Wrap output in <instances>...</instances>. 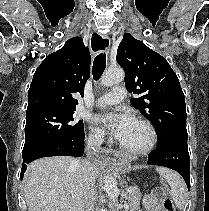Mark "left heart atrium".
<instances>
[{"mask_svg":"<svg viewBox=\"0 0 209 211\" xmlns=\"http://www.w3.org/2000/svg\"><path fill=\"white\" fill-rule=\"evenodd\" d=\"M94 121L120 142L125 139L134 123L133 117L127 113L99 114L94 117Z\"/></svg>","mask_w":209,"mask_h":211,"instance_id":"obj_1","label":"left heart atrium"}]
</instances>
